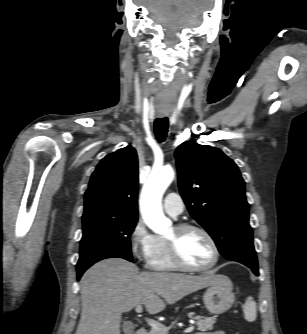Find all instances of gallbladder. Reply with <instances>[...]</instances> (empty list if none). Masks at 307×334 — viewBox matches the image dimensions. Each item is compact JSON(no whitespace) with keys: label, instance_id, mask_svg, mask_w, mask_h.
I'll return each mask as SVG.
<instances>
[{"label":"gallbladder","instance_id":"bac80fb5","mask_svg":"<svg viewBox=\"0 0 307 334\" xmlns=\"http://www.w3.org/2000/svg\"><path fill=\"white\" fill-rule=\"evenodd\" d=\"M123 331L126 334H132V332L134 331V325H133V323L130 322V321L124 322V324H123Z\"/></svg>","mask_w":307,"mask_h":334}]
</instances>
